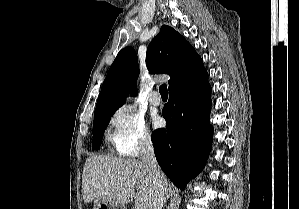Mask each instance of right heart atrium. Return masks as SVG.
<instances>
[{
  "instance_id": "obj_1",
  "label": "right heart atrium",
  "mask_w": 299,
  "mask_h": 209,
  "mask_svg": "<svg viewBox=\"0 0 299 209\" xmlns=\"http://www.w3.org/2000/svg\"><path fill=\"white\" fill-rule=\"evenodd\" d=\"M107 136L115 150L126 156H136L153 145L144 118L128 107L112 113Z\"/></svg>"
}]
</instances>
